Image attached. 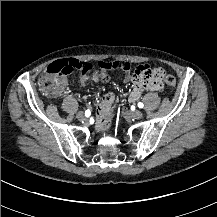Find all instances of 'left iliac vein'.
<instances>
[{"mask_svg": "<svg viewBox=\"0 0 217 217\" xmlns=\"http://www.w3.org/2000/svg\"><path fill=\"white\" fill-rule=\"evenodd\" d=\"M124 114L134 119H141L143 117V113L140 110H135L132 112L125 111Z\"/></svg>", "mask_w": 217, "mask_h": 217, "instance_id": "left-iliac-vein-1", "label": "left iliac vein"}]
</instances>
